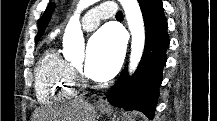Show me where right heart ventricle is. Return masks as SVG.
I'll return each instance as SVG.
<instances>
[{
  "label": "right heart ventricle",
  "mask_w": 217,
  "mask_h": 121,
  "mask_svg": "<svg viewBox=\"0 0 217 121\" xmlns=\"http://www.w3.org/2000/svg\"><path fill=\"white\" fill-rule=\"evenodd\" d=\"M35 92L44 104L64 101L75 93L72 66L55 48L47 49L37 63Z\"/></svg>",
  "instance_id": "obj_1"
}]
</instances>
